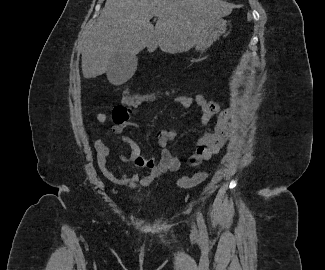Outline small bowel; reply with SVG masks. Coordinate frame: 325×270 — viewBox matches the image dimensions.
<instances>
[{
  "label": "small bowel",
  "mask_w": 325,
  "mask_h": 270,
  "mask_svg": "<svg viewBox=\"0 0 325 270\" xmlns=\"http://www.w3.org/2000/svg\"><path fill=\"white\" fill-rule=\"evenodd\" d=\"M134 96H152L147 93L136 94ZM164 97V96H163ZM175 102L184 110L192 108L196 102L202 110L200 118V128L202 129L200 137L197 139L194 150L189 156V164L196 166L202 161L210 160L217 155L225 146L230 134V111L228 109L221 111V105L207 99L204 95L198 94L195 98L187 95H178ZM149 103H117L113 109V119L115 126L108 130L105 135L114 133L119 135L131 120L132 110L136 112L142 111ZM217 116L215 129L210 130L208 125L212 119ZM100 123L107 120L105 114H99L97 117ZM121 121V122H120ZM139 125L138 122L132 123ZM158 144L161 147V157L146 158L138 143L128 136H119V139L130 148L129 155L119 154V159L123 163L132 162L139 168H144L148 171L147 175L140 177L139 174H125L120 171L119 175H115L109 164V155L111 148L104 142V137H99L94 141V146L97 151V160L99 167L104 176L111 182L130 188L140 189L149 186L157 177L165 172H174L180 168V159L170 153L167 146L177 138V133L174 130H162L155 134Z\"/></svg>",
  "instance_id": "small-bowel-1"
}]
</instances>
